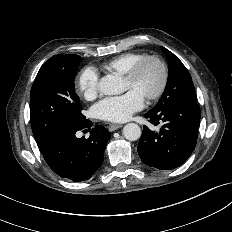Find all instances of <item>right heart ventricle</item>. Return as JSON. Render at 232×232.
I'll use <instances>...</instances> for the list:
<instances>
[{"label": "right heart ventricle", "instance_id": "e07e8e85", "mask_svg": "<svg viewBox=\"0 0 232 232\" xmlns=\"http://www.w3.org/2000/svg\"><path fill=\"white\" fill-rule=\"evenodd\" d=\"M145 54L138 52H125L122 53L105 63V68L111 71L118 72L120 74H126L127 71L134 65L138 60L143 58Z\"/></svg>", "mask_w": 232, "mask_h": 232}]
</instances>
